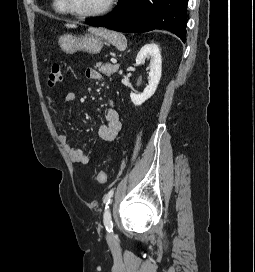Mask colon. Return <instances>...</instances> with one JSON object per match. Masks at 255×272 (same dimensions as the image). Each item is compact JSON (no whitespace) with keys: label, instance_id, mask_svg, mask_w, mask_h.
<instances>
[{"label":"colon","instance_id":"1","mask_svg":"<svg viewBox=\"0 0 255 272\" xmlns=\"http://www.w3.org/2000/svg\"><path fill=\"white\" fill-rule=\"evenodd\" d=\"M62 82L61 66L59 63H54L51 65L48 76H47V85L49 87H56ZM107 172L101 170L97 173L96 180L100 184L107 182Z\"/></svg>","mask_w":255,"mask_h":272}]
</instances>
